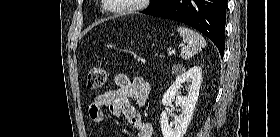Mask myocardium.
I'll return each mask as SVG.
<instances>
[{
    "label": "myocardium",
    "mask_w": 280,
    "mask_h": 137,
    "mask_svg": "<svg viewBox=\"0 0 280 137\" xmlns=\"http://www.w3.org/2000/svg\"><path fill=\"white\" fill-rule=\"evenodd\" d=\"M104 7L113 12V13H122V14H125V13H129V12H132V11H136L140 8V5L141 3L145 2V0H134L132 4L126 6V7H123V8H120V9H114L112 8L110 5H108L106 2L107 0H104Z\"/></svg>",
    "instance_id": "1"
}]
</instances>
